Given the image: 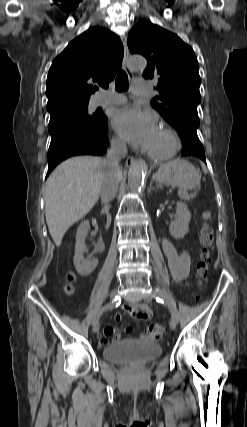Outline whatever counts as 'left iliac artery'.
<instances>
[{
  "label": "left iliac artery",
  "instance_id": "left-iliac-artery-1",
  "mask_svg": "<svg viewBox=\"0 0 247 427\" xmlns=\"http://www.w3.org/2000/svg\"><path fill=\"white\" fill-rule=\"evenodd\" d=\"M153 296H154V298H156L157 302H160L162 304L167 305L169 307L170 311H171L172 318L178 320L176 309L174 308V306L168 300L165 299V297H164V295H163V293H162V291L160 289H158V288L155 289L154 293H153Z\"/></svg>",
  "mask_w": 247,
  "mask_h": 427
}]
</instances>
